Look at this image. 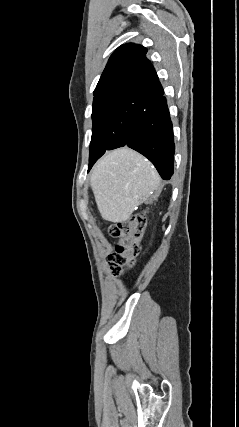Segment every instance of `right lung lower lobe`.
Listing matches in <instances>:
<instances>
[{
  "label": "right lung lower lobe",
  "instance_id": "right-lung-lower-lobe-1",
  "mask_svg": "<svg viewBox=\"0 0 239 427\" xmlns=\"http://www.w3.org/2000/svg\"><path fill=\"white\" fill-rule=\"evenodd\" d=\"M163 94L146 99L147 106L136 117L123 146L144 155L154 164L162 179L169 180L174 170L175 146L172 122Z\"/></svg>",
  "mask_w": 239,
  "mask_h": 427
}]
</instances>
